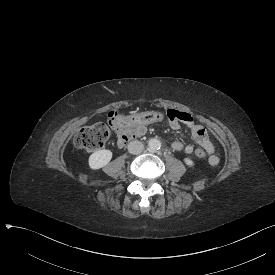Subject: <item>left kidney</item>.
Here are the masks:
<instances>
[{"mask_svg": "<svg viewBox=\"0 0 275 275\" xmlns=\"http://www.w3.org/2000/svg\"><path fill=\"white\" fill-rule=\"evenodd\" d=\"M184 162L186 163V165H188L190 167L194 166L193 161L191 159H189V158H185Z\"/></svg>", "mask_w": 275, "mask_h": 275, "instance_id": "left-kidney-1", "label": "left kidney"}]
</instances>
